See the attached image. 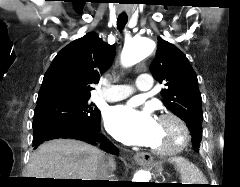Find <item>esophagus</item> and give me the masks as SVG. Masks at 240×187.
<instances>
[{
    "label": "esophagus",
    "instance_id": "34e87169",
    "mask_svg": "<svg viewBox=\"0 0 240 187\" xmlns=\"http://www.w3.org/2000/svg\"><path fill=\"white\" fill-rule=\"evenodd\" d=\"M134 160L139 164H150L153 161V157L149 153H136Z\"/></svg>",
    "mask_w": 240,
    "mask_h": 187
}]
</instances>
